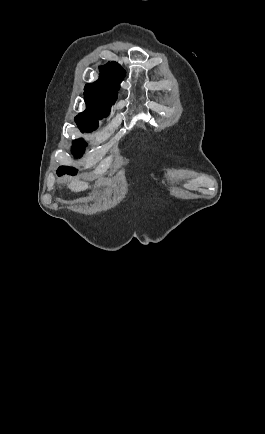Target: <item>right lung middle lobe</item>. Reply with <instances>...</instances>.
<instances>
[{
    "mask_svg": "<svg viewBox=\"0 0 265 434\" xmlns=\"http://www.w3.org/2000/svg\"><path fill=\"white\" fill-rule=\"evenodd\" d=\"M85 101L87 109L85 112L80 113L75 118V121L81 131L91 132L98 127L97 120L101 119L102 117H106L109 114L110 107L114 102L106 100L99 96L89 94H85ZM85 146L86 143H84L82 139L75 140L72 149L74 155L81 157L84 152ZM58 170L72 175L76 173V169L71 167L61 166Z\"/></svg>",
    "mask_w": 265,
    "mask_h": 434,
    "instance_id": "obj_1",
    "label": "right lung middle lobe"
}]
</instances>
